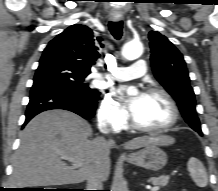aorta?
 Here are the masks:
<instances>
[{"instance_id":"762f6f07","label":"aorta","mask_w":218,"mask_h":191,"mask_svg":"<svg viewBox=\"0 0 218 191\" xmlns=\"http://www.w3.org/2000/svg\"><path fill=\"white\" fill-rule=\"evenodd\" d=\"M143 53V45L139 41H130L123 45L122 56L127 60H135L139 58ZM129 95H136L137 90L134 87H130L127 91Z\"/></svg>"}]
</instances>
